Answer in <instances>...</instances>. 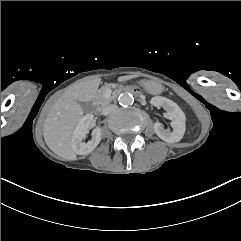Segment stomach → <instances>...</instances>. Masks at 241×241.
<instances>
[{"label": "stomach", "instance_id": "1", "mask_svg": "<svg viewBox=\"0 0 241 241\" xmlns=\"http://www.w3.org/2000/svg\"><path fill=\"white\" fill-rule=\"evenodd\" d=\"M141 83L145 90L151 94H160L164 90L163 85L156 81L143 80Z\"/></svg>", "mask_w": 241, "mask_h": 241}]
</instances>
